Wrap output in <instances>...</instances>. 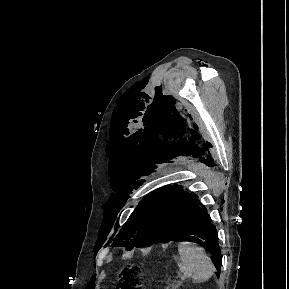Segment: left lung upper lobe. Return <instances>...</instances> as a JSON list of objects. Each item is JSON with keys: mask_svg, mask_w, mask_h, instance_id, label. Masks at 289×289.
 <instances>
[{"mask_svg": "<svg viewBox=\"0 0 289 289\" xmlns=\"http://www.w3.org/2000/svg\"><path fill=\"white\" fill-rule=\"evenodd\" d=\"M181 189V186H166L146 195L115 237L113 246H126L131 250L144 244L164 242L169 219L164 210Z\"/></svg>", "mask_w": 289, "mask_h": 289, "instance_id": "5c2ea615", "label": "left lung upper lobe"}]
</instances>
